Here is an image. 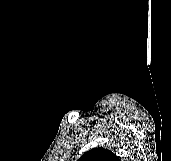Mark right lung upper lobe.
Segmentation results:
<instances>
[{
  "mask_svg": "<svg viewBox=\"0 0 171 161\" xmlns=\"http://www.w3.org/2000/svg\"><path fill=\"white\" fill-rule=\"evenodd\" d=\"M78 161H121L113 152L102 147L94 148L82 155Z\"/></svg>",
  "mask_w": 171,
  "mask_h": 161,
  "instance_id": "right-lung-upper-lobe-1",
  "label": "right lung upper lobe"
}]
</instances>
